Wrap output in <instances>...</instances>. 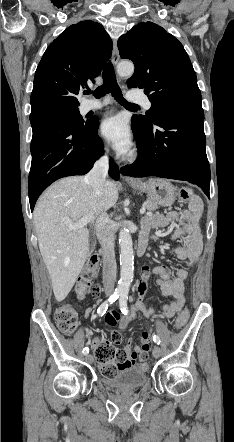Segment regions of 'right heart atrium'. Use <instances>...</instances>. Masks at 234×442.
<instances>
[{"label":"right heart atrium","instance_id":"d8ad5b80","mask_svg":"<svg viewBox=\"0 0 234 442\" xmlns=\"http://www.w3.org/2000/svg\"><path fill=\"white\" fill-rule=\"evenodd\" d=\"M108 153H109V147L106 144H103L101 146V154H102V156L103 157H107Z\"/></svg>","mask_w":234,"mask_h":442}]
</instances>
